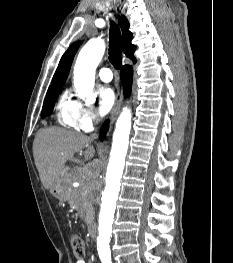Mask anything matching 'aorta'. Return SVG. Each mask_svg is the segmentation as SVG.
<instances>
[{
    "mask_svg": "<svg viewBox=\"0 0 233 263\" xmlns=\"http://www.w3.org/2000/svg\"><path fill=\"white\" fill-rule=\"evenodd\" d=\"M104 52L105 44L101 39L89 40L79 52L74 67V85L81 99L86 101L92 99L95 70ZM131 117L130 109L124 108L116 122L107 168L106 184L101 191L97 248L103 260H109L111 256L109 247L110 236L129 144Z\"/></svg>",
    "mask_w": 233,
    "mask_h": 263,
    "instance_id": "1",
    "label": "aorta"
}]
</instances>
